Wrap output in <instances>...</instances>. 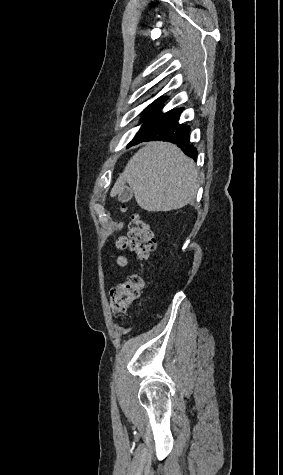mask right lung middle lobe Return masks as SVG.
Returning a JSON list of instances; mask_svg holds the SVG:
<instances>
[{
	"mask_svg": "<svg viewBox=\"0 0 283 475\" xmlns=\"http://www.w3.org/2000/svg\"><path fill=\"white\" fill-rule=\"evenodd\" d=\"M166 99H158L156 100L152 105L148 106L145 110H144V118H147L149 117L150 115H152L160 106L161 104L165 101Z\"/></svg>",
	"mask_w": 283,
	"mask_h": 475,
	"instance_id": "1",
	"label": "right lung middle lobe"
}]
</instances>
